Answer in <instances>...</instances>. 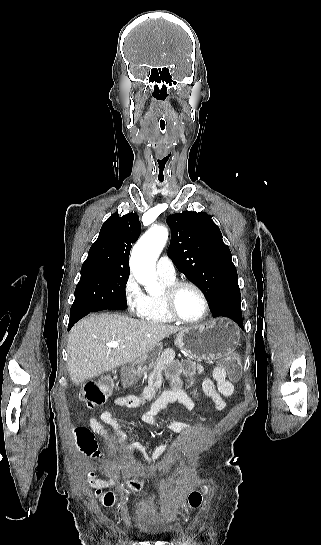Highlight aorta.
Segmentation results:
<instances>
[{"mask_svg":"<svg viewBox=\"0 0 321 545\" xmlns=\"http://www.w3.org/2000/svg\"><path fill=\"white\" fill-rule=\"evenodd\" d=\"M168 239V230L164 226L151 227L134 246L130 267L134 277L150 293L160 290L157 282L155 265L158 256Z\"/></svg>","mask_w":321,"mask_h":545,"instance_id":"762f6f07","label":"aorta"}]
</instances>
